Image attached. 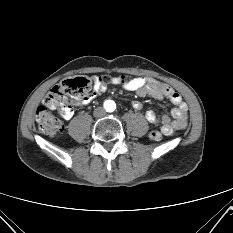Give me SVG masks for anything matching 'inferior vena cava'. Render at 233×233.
<instances>
[{"mask_svg":"<svg viewBox=\"0 0 233 233\" xmlns=\"http://www.w3.org/2000/svg\"><path fill=\"white\" fill-rule=\"evenodd\" d=\"M94 116L98 117V116H103L105 115V110L102 108V107H97L95 110H94Z\"/></svg>","mask_w":233,"mask_h":233,"instance_id":"inferior-vena-cava-1","label":"inferior vena cava"}]
</instances>
